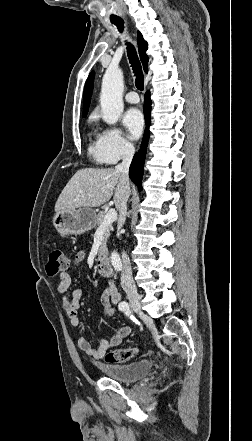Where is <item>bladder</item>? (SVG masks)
<instances>
[{
	"label": "bladder",
	"mask_w": 252,
	"mask_h": 441,
	"mask_svg": "<svg viewBox=\"0 0 252 441\" xmlns=\"http://www.w3.org/2000/svg\"><path fill=\"white\" fill-rule=\"evenodd\" d=\"M98 369L110 379L121 382H134L147 376L152 364L148 359H142L131 363H98Z\"/></svg>",
	"instance_id": "1"
}]
</instances>
